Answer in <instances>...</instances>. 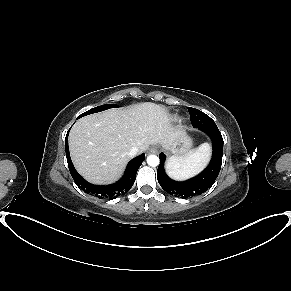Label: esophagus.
Listing matches in <instances>:
<instances>
[{
    "instance_id": "34e87169",
    "label": "esophagus",
    "mask_w": 291,
    "mask_h": 291,
    "mask_svg": "<svg viewBox=\"0 0 291 291\" xmlns=\"http://www.w3.org/2000/svg\"><path fill=\"white\" fill-rule=\"evenodd\" d=\"M150 152L151 153H156L157 152V149L156 148H151Z\"/></svg>"
}]
</instances>
